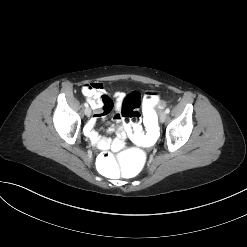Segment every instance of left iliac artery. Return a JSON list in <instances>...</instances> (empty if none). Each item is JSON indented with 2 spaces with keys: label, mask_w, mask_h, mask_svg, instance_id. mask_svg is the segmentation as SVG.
<instances>
[{
  "label": "left iliac artery",
  "mask_w": 247,
  "mask_h": 247,
  "mask_svg": "<svg viewBox=\"0 0 247 247\" xmlns=\"http://www.w3.org/2000/svg\"><path fill=\"white\" fill-rule=\"evenodd\" d=\"M165 112L168 114V113L170 112V109L167 108V109L165 110Z\"/></svg>",
  "instance_id": "left-iliac-artery-1"
}]
</instances>
